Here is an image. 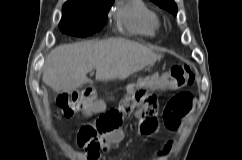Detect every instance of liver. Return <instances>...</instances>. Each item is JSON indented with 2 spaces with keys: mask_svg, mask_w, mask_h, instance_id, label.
Masks as SVG:
<instances>
[{
  "mask_svg": "<svg viewBox=\"0 0 242 160\" xmlns=\"http://www.w3.org/2000/svg\"><path fill=\"white\" fill-rule=\"evenodd\" d=\"M163 56L134 41L121 38L59 45L46 58L43 82L55 92H71L96 80H123Z\"/></svg>",
  "mask_w": 242,
  "mask_h": 160,
  "instance_id": "liver-1",
  "label": "liver"
}]
</instances>
